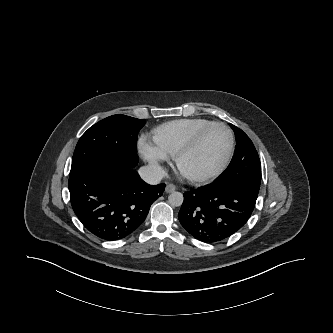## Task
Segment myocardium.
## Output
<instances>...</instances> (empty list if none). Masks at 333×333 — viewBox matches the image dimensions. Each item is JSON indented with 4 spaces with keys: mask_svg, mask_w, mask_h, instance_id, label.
<instances>
[{
    "mask_svg": "<svg viewBox=\"0 0 333 333\" xmlns=\"http://www.w3.org/2000/svg\"><path fill=\"white\" fill-rule=\"evenodd\" d=\"M216 127L224 129L229 138L228 153L222 164L215 171L206 175H192L183 172L180 168V161L182 160V158L191 153L200 144V142L206 136V134ZM234 150H235V138L232 130L224 123L214 122L203 128L202 130H200L185 146H183L180 150H178L173 157V161L177 170L187 180L194 183H208L219 177L227 169L234 155Z\"/></svg>",
    "mask_w": 333,
    "mask_h": 333,
    "instance_id": "1",
    "label": "myocardium"
}]
</instances>
